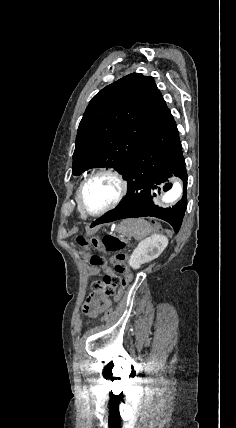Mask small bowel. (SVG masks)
<instances>
[{
  "mask_svg": "<svg viewBox=\"0 0 236 428\" xmlns=\"http://www.w3.org/2000/svg\"><path fill=\"white\" fill-rule=\"evenodd\" d=\"M99 302L102 303L104 306L109 305V300L105 296H99Z\"/></svg>",
  "mask_w": 236,
  "mask_h": 428,
  "instance_id": "1",
  "label": "small bowel"
}]
</instances>
